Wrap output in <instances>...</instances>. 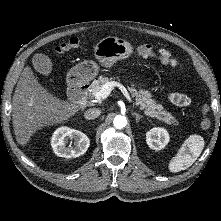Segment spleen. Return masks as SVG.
Here are the masks:
<instances>
[{
	"label": "spleen",
	"mask_w": 221,
	"mask_h": 221,
	"mask_svg": "<svg viewBox=\"0 0 221 221\" xmlns=\"http://www.w3.org/2000/svg\"><path fill=\"white\" fill-rule=\"evenodd\" d=\"M204 145V139L200 135L189 136L176 156L170 160L169 170L176 173L189 168L201 154Z\"/></svg>",
	"instance_id": "3e777b00"
}]
</instances>
